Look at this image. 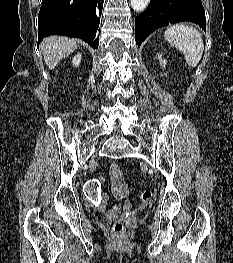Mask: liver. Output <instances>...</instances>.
<instances>
[{"label": "liver", "mask_w": 233, "mask_h": 263, "mask_svg": "<svg viewBox=\"0 0 233 263\" xmlns=\"http://www.w3.org/2000/svg\"><path fill=\"white\" fill-rule=\"evenodd\" d=\"M40 48L45 64L52 70L62 58L73 53L77 48V43L76 40L68 37L50 36L41 42Z\"/></svg>", "instance_id": "6515ba94"}]
</instances>
